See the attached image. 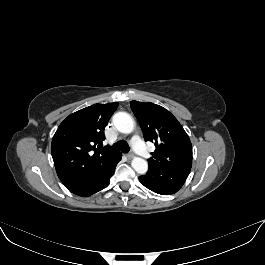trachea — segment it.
I'll list each match as a JSON object with an SVG mask.
<instances>
[{
  "instance_id": "trachea-1",
  "label": "trachea",
  "mask_w": 265,
  "mask_h": 265,
  "mask_svg": "<svg viewBox=\"0 0 265 265\" xmlns=\"http://www.w3.org/2000/svg\"><path fill=\"white\" fill-rule=\"evenodd\" d=\"M110 149L112 151H122L123 153H128L130 151V147L128 146V144L124 141H118L116 143H114Z\"/></svg>"
}]
</instances>
